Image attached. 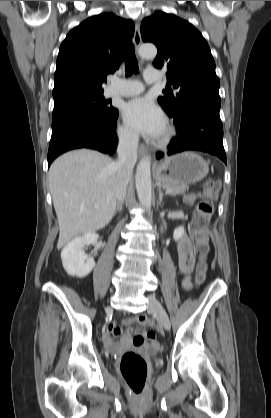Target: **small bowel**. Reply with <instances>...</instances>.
Wrapping results in <instances>:
<instances>
[{
    "mask_svg": "<svg viewBox=\"0 0 271 418\" xmlns=\"http://www.w3.org/2000/svg\"><path fill=\"white\" fill-rule=\"evenodd\" d=\"M178 258H179V268L180 271L185 275L182 281V287L185 291H188L191 288V279L190 273L192 272L195 264V257L193 246L187 236L183 235L178 241ZM140 323L139 317H132L124 319L122 324L124 326L130 327L135 323ZM122 334V328L116 323H111L107 327V330L104 334V343L107 350L111 352L118 351L123 346H134L140 348L143 346L144 336L146 332L143 329H139L136 335L132 336L131 330H128L126 335H124L120 341L115 342V338ZM152 345L157 346L154 338H151Z\"/></svg>",
    "mask_w": 271,
    "mask_h": 418,
    "instance_id": "small-bowel-1",
    "label": "small bowel"
}]
</instances>
